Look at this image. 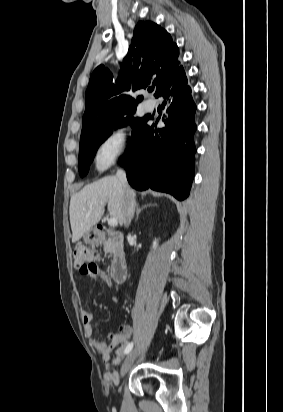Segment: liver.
Masks as SVG:
<instances>
[{"label": "liver", "instance_id": "liver-1", "mask_svg": "<svg viewBox=\"0 0 283 412\" xmlns=\"http://www.w3.org/2000/svg\"><path fill=\"white\" fill-rule=\"evenodd\" d=\"M123 202L124 190L117 176L104 177L73 194L69 207L72 242H77L100 221L106 203L110 216L123 225Z\"/></svg>", "mask_w": 283, "mask_h": 412}]
</instances>
